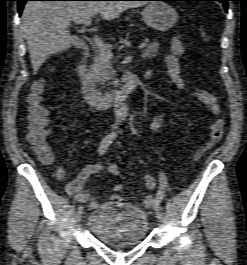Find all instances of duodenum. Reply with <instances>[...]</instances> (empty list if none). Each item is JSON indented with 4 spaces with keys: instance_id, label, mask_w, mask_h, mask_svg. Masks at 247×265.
<instances>
[{
    "instance_id": "duodenum-1",
    "label": "duodenum",
    "mask_w": 247,
    "mask_h": 265,
    "mask_svg": "<svg viewBox=\"0 0 247 265\" xmlns=\"http://www.w3.org/2000/svg\"><path fill=\"white\" fill-rule=\"evenodd\" d=\"M76 70L80 78L84 95L96 106L107 109L114 104H121L128 94L136 87L135 76L131 71L122 74V84L112 91L99 90L91 77L88 64V49L84 48L76 61ZM148 76H146L147 78Z\"/></svg>"
}]
</instances>
